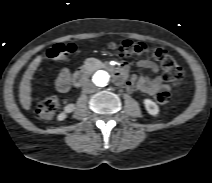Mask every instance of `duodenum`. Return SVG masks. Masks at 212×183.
<instances>
[{
	"label": "duodenum",
	"instance_id": "duodenum-1",
	"mask_svg": "<svg viewBox=\"0 0 212 183\" xmlns=\"http://www.w3.org/2000/svg\"><path fill=\"white\" fill-rule=\"evenodd\" d=\"M91 73V67L89 65H83L81 66L74 74V84L76 86H81L85 80L88 78L89 74ZM113 79L117 81H121L123 74L122 70H114L112 73Z\"/></svg>",
	"mask_w": 212,
	"mask_h": 183
}]
</instances>
